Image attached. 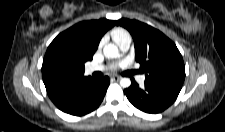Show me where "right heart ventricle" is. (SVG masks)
Listing matches in <instances>:
<instances>
[{"label":"right heart ventricle","instance_id":"obj_1","mask_svg":"<svg viewBox=\"0 0 225 132\" xmlns=\"http://www.w3.org/2000/svg\"><path fill=\"white\" fill-rule=\"evenodd\" d=\"M111 37L118 45L125 40H131L129 32L119 27L111 31Z\"/></svg>","mask_w":225,"mask_h":132}]
</instances>
